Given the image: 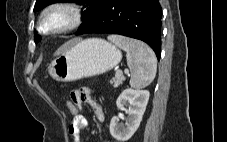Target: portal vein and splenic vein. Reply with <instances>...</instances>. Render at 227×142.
<instances>
[{
  "label": "portal vein and splenic vein",
  "instance_id": "portal-vein-and-splenic-vein-1",
  "mask_svg": "<svg viewBox=\"0 0 227 142\" xmlns=\"http://www.w3.org/2000/svg\"><path fill=\"white\" fill-rule=\"evenodd\" d=\"M125 73H126V74H128V73H129V70H128V69H126V70H125ZM117 74H122V71H121V70H119V71L117 72Z\"/></svg>",
  "mask_w": 227,
  "mask_h": 142
}]
</instances>
